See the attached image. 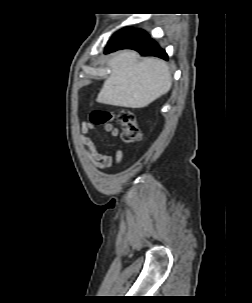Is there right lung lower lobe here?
Returning a JSON list of instances; mask_svg holds the SVG:
<instances>
[{
	"label": "right lung lower lobe",
	"instance_id": "1",
	"mask_svg": "<svg viewBox=\"0 0 252 303\" xmlns=\"http://www.w3.org/2000/svg\"><path fill=\"white\" fill-rule=\"evenodd\" d=\"M134 49L143 56H156L164 60L168 59L165 50L141 29L123 28L115 33L106 47L105 53H110L119 49Z\"/></svg>",
	"mask_w": 252,
	"mask_h": 303
}]
</instances>
